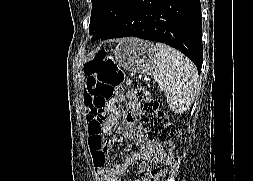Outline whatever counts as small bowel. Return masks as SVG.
I'll return each instance as SVG.
<instances>
[{
    "label": "small bowel",
    "mask_w": 253,
    "mask_h": 181,
    "mask_svg": "<svg viewBox=\"0 0 253 181\" xmlns=\"http://www.w3.org/2000/svg\"><path fill=\"white\" fill-rule=\"evenodd\" d=\"M86 95L87 93H85V100ZM123 102H128L127 111L124 114L117 108V105ZM135 106L134 92L132 90H119L107 105L109 116L106 121L99 122L91 112L87 115L89 147L92 150L93 165L98 174V181H120L121 176L126 172L127 168L135 163H138V171L145 176L137 178L134 181H146L149 163L158 156L159 150L146 137L142 135L131 136L130 127L134 123L132 111ZM122 117H124L123 137L133 138L139 144L140 151L128 155L123 163L112 164L109 163L108 159L115 141L110 140L105 142L102 135L110 133L113 126Z\"/></svg>",
    "instance_id": "small-bowel-1"
}]
</instances>
